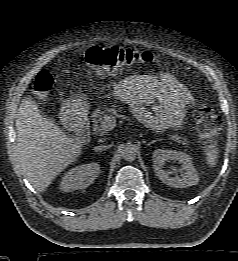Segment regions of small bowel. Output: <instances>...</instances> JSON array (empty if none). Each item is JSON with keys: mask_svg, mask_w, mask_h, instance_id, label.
<instances>
[{"mask_svg": "<svg viewBox=\"0 0 238 261\" xmlns=\"http://www.w3.org/2000/svg\"><path fill=\"white\" fill-rule=\"evenodd\" d=\"M107 97L126 102L148 127L162 131L182 126L194 99L170 74L126 76L106 86Z\"/></svg>", "mask_w": 238, "mask_h": 261, "instance_id": "1", "label": "small bowel"}]
</instances>
